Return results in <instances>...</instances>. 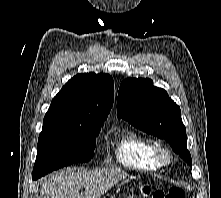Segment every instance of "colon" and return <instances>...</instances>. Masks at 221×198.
Returning <instances> with one entry per match:
<instances>
[{
  "instance_id": "5ec220e1",
  "label": "colon",
  "mask_w": 221,
  "mask_h": 198,
  "mask_svg": "<svg viewBox=\"0 0 221 198\" xmlns=\"http://www.w3.org/2000/svg\"><path fill=\"white\" fill-rule=\"evenodd\" d=\"M140 193L144 198H185L184 191L178 187L152 190L150 186L144 185L141 187Z\"/></svg>"
}]
</instances>
